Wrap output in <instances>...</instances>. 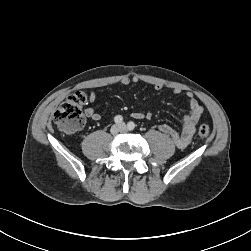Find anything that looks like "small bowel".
<instances>
[{
  "label": "small bowel",
  "mask_w": 251,
  "mask_h": 251,
  "mask_svg": "<svg viewBox=\"0 0 251 251\" xmlns=\"http://www.w3.org/2000/svg\"><path fill=\"white\" fill-rule=\"evenodd\" d=\"M140 82V79L138 77H129L124 76L120 79V84L122 85H129V84H138ZM155 90H161L162 85L161 84H154ZM173 93L179 94L182 92L180 88H174ZM97 98V94L94 91H91L88 95V101L94 102ZM188 98V113L183 116L181 119V125H182V131L181 133H178L175 131L172 127L162 124L159 126V130L163 133L167 134L173 141V143L180 149H183L187 147L195 134L196 131V125L201 117V114L203 112V107L201 104L197 101V99L193 96L192 93H187ZM84 114L87 118L98 121L101 119V115L95 111L92 107H86L84 109ZM131 116L135 119H146L149 120L152 118L151 112H134L131 114Z\"/></svg>",
  "instance_id": "c3829d8e"
}]
</instances>
